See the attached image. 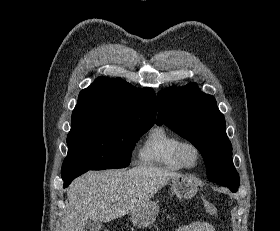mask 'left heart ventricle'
Here are the masks:
<instances>
[{
  "instance_id": "1",
  "label": "left heart ventricle",
  "mask_w": 280,
  "mask_h": 231,
  "mask_svg": "<svg viewBox=\"0 0 280 231\" xmlns=\"http://www.w3.org/2000/svg\"><path fill=\"white\" fill-rule=\"evenodd\" d=\"M183 160L189 168H195L199 162V156L193 146H186L183 149Z\"/></svg>"
}]
</instances>
